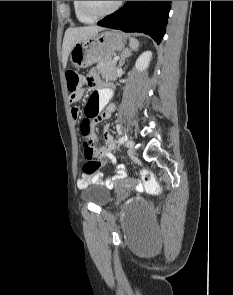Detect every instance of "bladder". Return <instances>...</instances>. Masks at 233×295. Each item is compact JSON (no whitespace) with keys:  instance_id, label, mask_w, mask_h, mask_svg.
Returning <instances> with one entry per match:
<instances>
[{"instance_id":"bladder-1","label":"bladder","mask_w":233,"mask_h":295,"mask_svg":"<svg viewBox=\"0 0 233 295\" xmlns=\"http://www.w3.org/2000/svg\"><path fill=\"white\" fill-rule=\"evenodd\" d=\"M81 197L83 200L100 207L106 206L111 200L109 190L102 185H91L85 188L81 193ZM125 209L130 214L142 213L148 215L150 206L144 200L134 198L125 205Z\"/></svg>"}]
</instances>
